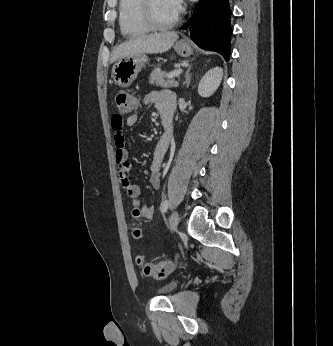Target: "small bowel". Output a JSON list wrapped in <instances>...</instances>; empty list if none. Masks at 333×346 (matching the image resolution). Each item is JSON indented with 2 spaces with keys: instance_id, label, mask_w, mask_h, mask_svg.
<instances>
[{
  "instance_id": "c3829d8e",
  "label": "small bowel",
  "mask_w": 333,
  "mask_h": 346,
  "mask_svg": "<svg viewBox=\"0 0 333 346\" xmlns=\"http://www.w3.org/2000/svg\"><path fill=\"white\" fill-rule=\"evenodd\" d=\"M154 104L160 114V117H166L171 123L172 116L175 110V98L169 91H151L143 96L138 102V105L142 107ZM138 121V115L136 113L131 114L125 122L127 127H133ZM112 127L115 135L116 154L115 159L119 168V178L121 187L125 190L132 202L134 210L139 211V215L145 219H152L155 214L153 206L143 205L140 200V187L133 184L128 178V173L131 169L128 161L129 153L125 148L126 135L124 131V120L119 116L114 115L112 118ZM170 144V137L159 138L153 151V157L150 164V183L154 189H159L161 184L160 167L162 161L168 151Z\"/></svg>"
}]
</instances>
